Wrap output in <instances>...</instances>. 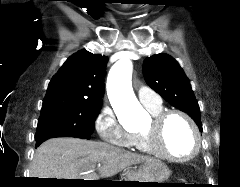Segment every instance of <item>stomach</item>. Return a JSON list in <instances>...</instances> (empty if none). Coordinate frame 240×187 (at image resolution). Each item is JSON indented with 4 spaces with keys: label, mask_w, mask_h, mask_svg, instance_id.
Wrapping results in <instances>:
<instances>
[{
    "label": "stomach",
    "mask_w": 240,
    "mask_h": 187,
    "mask_svg": "<svg viewBox=\"0 0 240 187\" xmlns=\"http://www.w3.org/2000/svg\"><path fill=\"white\" fill-rule=\"evenodd\" d=\"M170 175L167 165L160 160L152 159L144 162L139 171L128 175L131 182H156L142 183L146 186H157V183H163ZM136 180V181H132ZM142 180V181H137Z\"/></svg>",
    "instance_id": "0dacf381"
}]
</instances>
